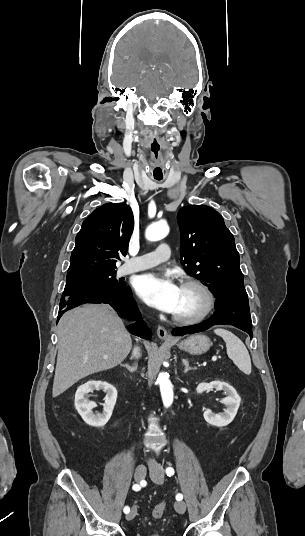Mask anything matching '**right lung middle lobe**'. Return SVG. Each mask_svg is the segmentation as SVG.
Here are the masks:
<instances>
[{"mask_svg":"<svg viewBox=\"0 0 305 536\" xmlns=\"http://www.w3.org/2000/svg\"><path fill=\"white\" fill-rule=\"evenodd\" d=\"M115 276L116 271L110 270L88 275L70 277L67 278L65 290L91 289L102 292L117 291L126 285L124 282H119Z\"/></svg>","mask_w":305,"mask_h":536,"instance_id":"1","label":"right lung middle lobe"}]
</instances>
